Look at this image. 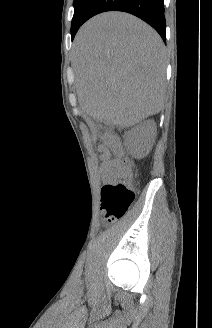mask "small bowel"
<instances>
[{
    "mask_svg": "<svg viewBox=\"0 0 212 328\" xmlns=\"http://www.w3.org/2000/svg\"><path fill=\"white\" fill-rule=\"evenodd\" d=\"M99 150L101 152L100 160L102 173L108 178L119 175L121 169L120 161L112 159L110 151L104 146H100Z\"/></svg>",
    "mask_w": 212,
    "mask_h": 328,
    "instance_id": "c3829d8e",
    "label": "small bowel"
}]
</instances>
